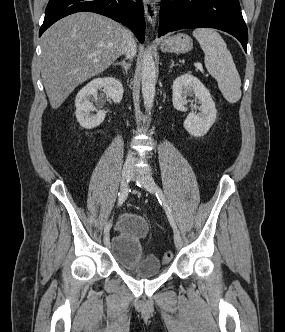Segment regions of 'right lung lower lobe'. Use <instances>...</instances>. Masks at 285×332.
<instances>
[{
  "label": "right lung lower lobe",
  "mask_w": 285,
  "mask_h": 332,
  "mask_svg": "<svg viewBox=\"0 0 285 332\" xmlns=\"http://www.w3.org/2000/svg\"><path fill=\"white\" fill-rule=\"evenodd\" d=\"M81 11L105 15L129 27L143 43L145 39L144 9L141 0H50L39 36L57 20Z\"/></svg>",
  "instance_id": "right-lung-lower-lobe-1"
}]
</instances>
